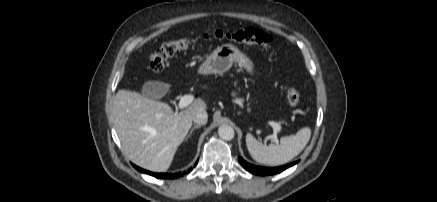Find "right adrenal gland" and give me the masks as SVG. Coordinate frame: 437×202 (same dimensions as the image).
Returning a JSON list of instances; mask_svg holds the SVG:
<instances>
[{
  "instance_id": "right-adrenal-gland-1",
  "label": "right adrenal gland",
  "mask_w": 437,
  "mask_h": 202,
  "mask_svg": "<svg viewBox=\"0 0 437 202\" xmlns=\"http://www.w3.org/2000/svg\"><path fill=\"white\" fill-rule=\"evenodd\" d=\"M200 127H201V125H195V126L191 129V131H190V133L188 134V136L186 137V140L191 136L192 132H193L195 129L200 128Z\"/></svg>"
}]
</instances>
